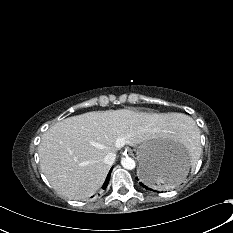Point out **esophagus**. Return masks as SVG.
<instances>
[{"instance_id":"esophagus-1","label":"esophagus","mask_w":233,"mask_h":233,"mask_svg":"<svg viewBox=\"0 0 233 233\" xmlns=\"http://www.w3.org/2000/svg\"><path fill=\"white\" fill-rule=\"evenodd\" d=\"M124 153L127 155L130 153V150L126 149Z\"/></svg>"}]
</instances>
